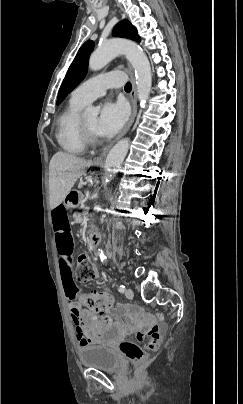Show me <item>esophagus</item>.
Returning a JSON list of instances; mask_svg holds the SVG:
<instances>
[{"label": "esophagus", "mask_w": 243, "mask_h": 404, "mask_svg": "<svg viewBox=\"0 0 243 404\" xmlns=\"http://www.w3.org/2000/svg\"><path fill=\"white\" fill-rule=\"evenodd\" d=\"M128 69H129V74H130V78L132 81V91L130 93V100H131V105H132V114L130 116L129 122L127 123V125L124 127V129L122 130V132L118 135V137L113 140V142H111L108 145H105V147L102 149L101 154L98 157H95L93 160L94 164H102V159L106 156V154L108 153V151L110 150V148L112 147V145L117 142V140L121 139V137H123V135H125L128 130L130 129L131 125L133 124L135 118H136V114H137V86H136V79L134 76V71L132 69V67L128 64Z\"/></svg>", "instance_id": "1"}]
</instances>
